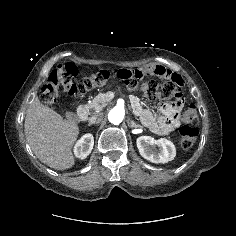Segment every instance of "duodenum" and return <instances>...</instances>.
<instances>
[{
  "label": "duodenum",
  "instance_id": "410a0bca",
  "mask_svg": "<svg viewBox=\"0 0 236 236\" xmlns=\"http://www.w3.org/2000/svg\"><path fill=\"white\" fill-rule=\"evenodd\" d=\"M77 115L81 121H86L89 116L88 107L85 104L78 105Z\"/></svg>",
  "mask_w": 236,
  "mask_h": 236
}]
</instances>
